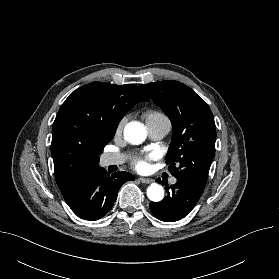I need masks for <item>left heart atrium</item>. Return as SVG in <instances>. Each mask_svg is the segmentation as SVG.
Segmentation results:
<instances>
[{
  "instance_id": "obj_1",
  "label": "left heart atrium",
  "mask_w": 279,
  "mask_h": 279,
  "mask_svg": "<svg viewBox=\"0 0 279 279\" xmlns=\"http://www.w3.org/2000/svg\"><path fill=\"white\" fill-rule=\"evenodd\" d=\"M155 157V154H150L146 158L138 159L135 161L134 166L138 171L145 172L148 169V160L154 159Z\"/></svg>"
}]
</instances>
